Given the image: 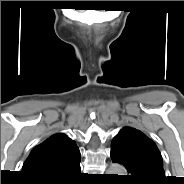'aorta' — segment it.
I'll return each mask as SVG.
<instances>
[{"mask_svg": "<svg viewBox=\"0 0 184 184\" xmlns=\"http://www.w3.org/2000/svg\"><path fill=\"white\" fill-rule=\"evenodd\" d=\"M108 174H117V175H123L124 168L119 164H111L108 169Z\"/></svg>", "mask_w": 184, "mask_h": 184, "instance_id": "762f6f07", "label": "aorta"}]
</instances>
